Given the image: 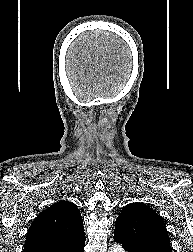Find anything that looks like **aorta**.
Instances as JSON below:
<instances>
[{"instance_id":"762f6f07","label":"aorta","mask_w":193,"mask_h":252,"mask_svg":"<svg viewBox=\"0 0 193 252\" xmlns=\"http://www.w3.org/2000/svg\"><path fill=\"white\" fill-rule=\"evenodd\" d=\"M110 252H125L124 248L120 244H114L110 248Z\"/></svg>"}]
</instances>
